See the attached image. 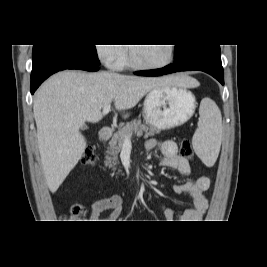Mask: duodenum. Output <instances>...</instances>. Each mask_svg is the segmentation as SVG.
Returning a JSON list of instances; mask_svg holds the SVG:
<instances>
[{"mask_svg":"<svg viewBox=\"0 0 267 267\" xmlns=\"http://www.w3.org/2000/svg\"><path fill=\"white\" fill-rule=\"evenodd\" d=\"M111 135H112V131L110 128H102L99 131L98 139L101 142H105L110 139Z\"/></svg>","mask_w":267,"mask_h":267,"instance_id":"1","label":"duodenum"}]
</instances>
